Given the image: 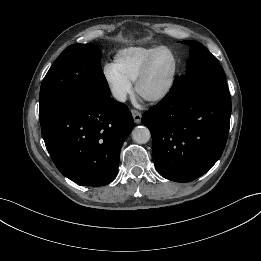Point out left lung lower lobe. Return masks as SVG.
<instances>
[{
	"mask_svg": "<svg viewBox=\"0 0 261 261\" xmlns=\"http://www.w3.org/2000/svg\"><path fill=\"white\" fill-rule=\"evenodd\" d=\"M230 115L226 81L202 85L183 100L169 93L142 116L152 135L157 171L176 182L206 173L224 150Z\"/></svg>",
	"mask_w": 261,
	"mask_h": 261,
	"instance_id": "1",
	"label": "left lung lower lobe"
}]
</instances>
